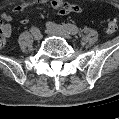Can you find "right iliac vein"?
<instances>
[{
  "label": "right iliac vein",
  "mask_w": 119,
  "mask_h": 119,
  "mask_svg": "<svg viewBox=\"0 0 119 119\" xmlns=\"http://www.w3.org/2000/svg\"><path fill=\"white\" fill-rule=\"evenodd\" d=\"M33 37H34V36H33ZM34 39H35V40H40V39H42V34H41V32H40L39 36L34 37Z\"/></svg>",
  "instance_id": "right-iliac-vein-1"
}]
</instances>
